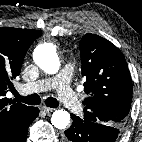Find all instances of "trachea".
<instances>
[{"mask_svg": "<svg viewBox=\"0 0 142 142\" xmlns=\"http://www.w3.org/2000/svg\"><path fill=\"white\" fill-rule=\"evenodd\" d=\"M16 101L23 102L28 105H38L41 102V99L38 94H31L26 97L19 95L17 91H13ZM45 104L50 108H57L59 106L58 101L53 97H48L45 100Z\"/></svg>", "mask_w": 142, "mask_h": 142, "instance_id": "3493384b", "label": "trachea"}]
</instances>
